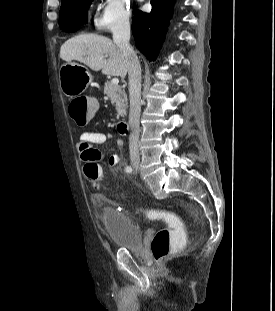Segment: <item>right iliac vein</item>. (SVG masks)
<instances>
[{"label": "right iliac vein", "instance_id": "1", "mask_svg": "<svg viewBox=\"0 0 275 311\" xmlns=\"http://www.w3.org/2000/svg\"><path fill=\"white\" fill-rule=\"evenodd\" d=\"M139 163H140V159H139V158H133V159H132V164H133L134 166H138Z\"/></svg>", "mask_w": 275, "mask_h": 311}]
</instances>
